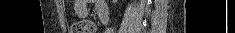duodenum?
<instances>
[{"label":"duodenum","instance_id":"duodenum-1","mask_svg":"<svg viewBox=\"0 0 235 33\" xmlns=\"http://www.w3.org/2000/svg\"><path fill=\"white\" fill-rule=\"evenodd\" d=\"M101 20H102L103 23H107V21H108V16H106V15L102 16V17H101Z\"/></svg>","mask_w":235,"mask_h":33}]
</instances>
